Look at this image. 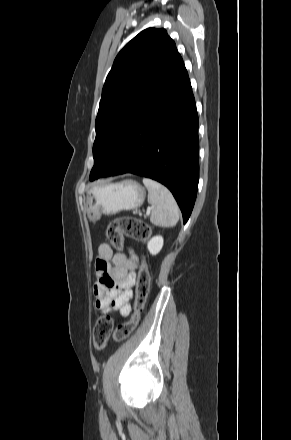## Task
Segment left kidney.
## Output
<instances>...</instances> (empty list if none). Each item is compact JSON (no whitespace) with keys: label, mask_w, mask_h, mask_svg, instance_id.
Here are the masks:
<instances>
[{"label":"left kidney","mask_w":291,"mask_h":440,"mask_svg":"<svg viewBox=\"0 0 291 440\" xmlns=\"http://www.w3.org/2000/svg\"><path fill=\"white\" fill-rule=\"evenodd\" d=\"M163 242V237L160 235L152 237L147 245L149 252L152 255L158 254L163 247Z\"/></svg>","instance_id":"obj_1"}]
</instances>
